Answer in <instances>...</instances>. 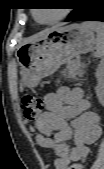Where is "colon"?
Returning <instances> with one entry per match:
<instances>
[{
	"instance_id": "5ec220e1",
	"label": "colon",
	"mask_w": 104,
	"mask_h": 169,
	"mask_svg": "<svg viewBox=\"0 0 104 169\" xmlns=\"http://www.w3.org/2000/svg\"><path fill=\"white\" fill-rule=\"evenodd\" d=\"M21 108L27 121H35L43 111V99L41 94H25L21 99ZM67 169H83V166L80 163H74Z\"/></svg>"
}]
</instances>
